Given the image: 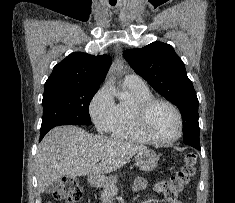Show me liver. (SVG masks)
<instances>
[{
	"instance_id": "1",
	"label": "liver",
	"mask_w": 235,
	"mask_h": 203,
	"mask_svg": "<svg viewBox=\"0 0 235 203\" xmlns=\"http://www.w3.org/2000/svg\"><path fill=\"white\" fill-rule=\"evenodd\" d=\"M147 149L137 142L118 137L90 134L76 126L50 130L38 146L36 177L40 192L64 176H100L125 165ZM99 158L100 163L94 160Z\"/></svg>"
}]
</instances>
